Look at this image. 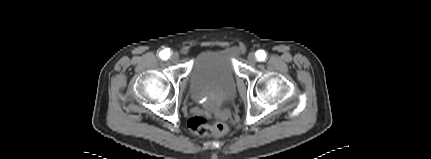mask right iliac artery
Returning <instances> with one entry per match:
<instances>
[{
  "label": "right iliac artery",
  "mask_w": 431,
  "mask_h": 159,
  "mask_svg": "<svg viewBox=\"0 0 431 159\" xmlns=\"http://www.w3.org/2000/svg\"><path fill=\"white\" fill-rule=\"evenodd\" d=\"M160 58L167 60L170 57V49H164L159 53Z\"/></svg>",
  "instance_id": "82829eb1"
}]
</instances>
